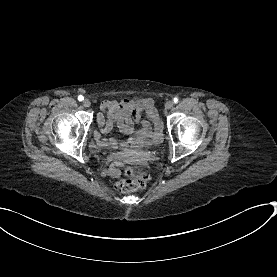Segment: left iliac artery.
<instances>
[{"mask_svg":"<svg viewBox=\"0 0 277 277\" xmlns=\"http://www.w3.org/2000/svg\"><path fill=\"white\" fill-rule=\"evenodd\" d=\"M178 102V98H174V103H177Z\"/></svg>","mask_w":277,"mask_h":277,"instance_id":"44dca946","label":"left iliac artery"}]
</instances>
